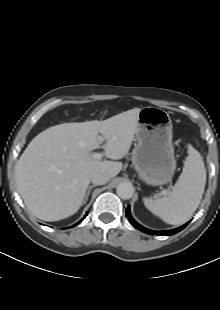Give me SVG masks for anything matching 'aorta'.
<instances>
[{"label": "aorta", "mask_w": 220, "mask_h": 310, "mask_svg": "<svg viewBox=\"0 0 220 310\" xmlns=\"http://www.w3.org/2000/svg\"><path fill=\"white\" fill-rule=\"evenodd\" d=\"M117 194L122 199H130L134 194V187L129 182H122L118 185Z\"/></svg>", "instance_id": "obj_1"}]
</instances>
